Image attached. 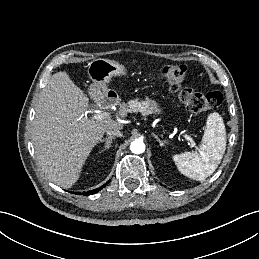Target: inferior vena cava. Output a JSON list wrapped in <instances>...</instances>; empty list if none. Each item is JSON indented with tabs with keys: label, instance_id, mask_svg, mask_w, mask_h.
<instances>
[{
	"label": "inferior vena cava",
	"instance_id": "inferior-vena-cava-1",
	"mask_svg": "<svg viewBox=\"0 0 259 259\" xmlns=\"http://www.w3.org/2000/svg\"><path fill=\"white\" fill-rule=\"evenodd\" d=\"M106 133L109 137L111 136L121 137L123 135L122 132L117 128L107 129Z\"/></svg>",
	"mask_w": 259,
	"mask_h": 259
}]
</instances>
